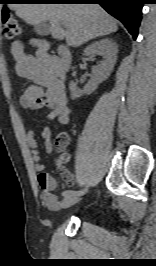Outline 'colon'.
I'll return each mask as SVG.
<instances>
[{
    "mask_svg": "<svg viewBox=\"0 0 156 266\" xmlns=\"http://www.w3.org/2000/svg\"><path fill=\"white\" fill-rule=\"evenodd\" d=\"M3 36L8 39H14L20 34V26L15 16L9 11H4L2 14ZM69 137L62 133L56 139V145L63 148L68 143ZM62 160L66 159V155H62Z\"/></svg>",
    "mask_w": 156,
    "mask_h": 266,
    "instance_id": "colon-1",
    "label": "colon"
}]
</instances>
